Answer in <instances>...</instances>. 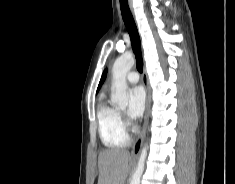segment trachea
<instances>
[{
    "instance_id": "obj_1",
    "label": "trachea",
    "mask_w": 235,
    "mask_h": 184,
    "mask_svg": "<svg viewBox=\"0 0 235 184\" xmlns=\"http://www.w3.org/2000/svg\"><path fill=\"white\" fill-rule=\"evenodd\" d=\"M120 8L122 12V18L129 33L132 48L136 56L137 70L139 72H143V61L140 48L139 34L128 5V0H120Z\"/></svg>"
}]
</instances>
